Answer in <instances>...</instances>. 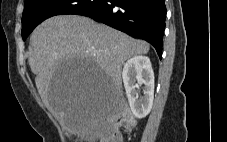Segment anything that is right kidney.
Wrapping results in <instances>:
<instances>
[{
  "label": "right kidney",
  "mask_w": 227,
  "mask_h": 142,
  "mask_svg": "<svg viewBox=\"0 0 227 142\" xmlns=\"http://www.w3.org/2000/svg\"><path fill=\"white\" fill-rule=\"evenodd\" d=\"M130 109L138 119L147 116L154 99V73L150 59L146 56H135L129 59L122 72ZM143 86V97L139 98V86Z\"/></svg>",
  "instance_id": "obj_1"
}]
</instances>
